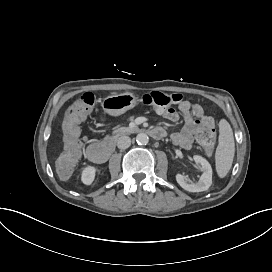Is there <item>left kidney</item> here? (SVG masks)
<instances>
[{
	"instance_id": "1",
	"label": "left kidney",
	"mask_w": 272,
	"mask_h": 272,
	"mask_svg": "<svg viewBox=\"0 0 272 272\" xmlns=\"http://www.w3.org/2000/svg\"><path fill=\"white\" fill-rule=\"evenodd\" d=\"M193 159L196 164L201 165L203 174L196 182H188L182 173H176V181L187 191L200 192L207 190L212 183V168L209 162L201 156L194 155Z\"/></svg>"
}]
</instances>
